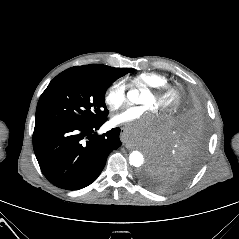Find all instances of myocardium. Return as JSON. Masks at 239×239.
Segmentation results:
<instances>
[{"instance_id":"f54148a6","label":"myocardium","mask_w":239,"mask_h":239,"mask_svg":"<svg viewBox=\"0 0 239 239\" xmlns=\"http://www.w3.org/2000/svg\"><path fill=\"white\" fill-rule=\"evenodd\" d=\"M149 92L157 101L161 102V113L170 116L173 115L181 104L180 92L172 86H162L156 88H148Z\"/></svg>"}]
</instances>
